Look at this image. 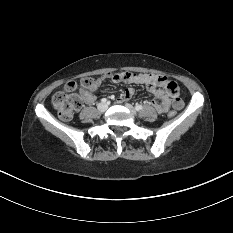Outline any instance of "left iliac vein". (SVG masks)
Wrapping results in <instances>:
<instances>
[{"instance_id": "4c4485c4", "label": "left iliac vein", "mask_w": 233, "mask_h": 233, "mask_svg": "<svg viewBox=\"0 0 233 233\" xmlns=\"http://www.w3.org/2000/svg\"><path fill=\"white\" fill-rule=\"evenodd\" d=\"M125 106L131 111L132 114H137L136 109L131 104L126 103Z\"/></svg>"}]
</instances>
